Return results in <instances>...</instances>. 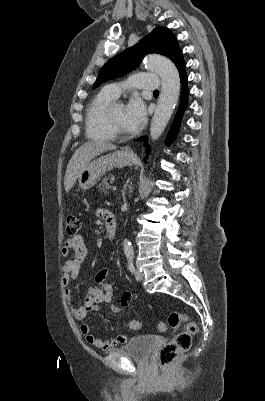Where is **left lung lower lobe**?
<instances>
[{
    "mask_svg": "<svg viewBox=\"0 0 265 401\" xmlns=\"http://www.w3.org/2000/svg\"><path fill=\"white\" fill-rule=\"evenodd\" d=\"M177 68L180 73V78H181V84H182V90H181V104L179 106V109L177 111V114L175 116L173 125L169 131L168 138H167V143H171V141L175 138V135L177 133L179 124H180V119L181 115L183 114L186 106H187V95H188V89H187V76L185 73V63L182 60L178 65ZM142 139V138H141ZM143 141L146 144L147 137H143ZM149 149H147V152L149 153Z\"/></svg>",
    "mask_w": 265,
    "mask_h": 401,
    "instance_id": "1",
    "label": "left lung lower lobe"
}]
</instances>
